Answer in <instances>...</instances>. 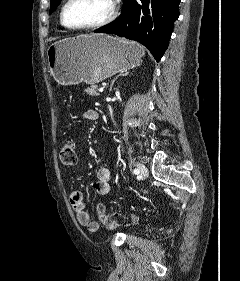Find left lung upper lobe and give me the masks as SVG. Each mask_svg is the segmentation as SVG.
Wrapping results in <instances>:
<instances>
[{"label": "left lung upper lobe", "mask_w": 240, "mask_h": 281, "mask_svg": "<svg viewBox=\"0 0 240 281\" xmlns=\"http://www.w3.org/2000/svg\"><path fill=\"white\" fill-rule=\"evenodd\" d=\"M62 0H50V14L55 10V8L60 4Z\"/></svg>", "instance_id": "5c2ea615"}]
</instances>
